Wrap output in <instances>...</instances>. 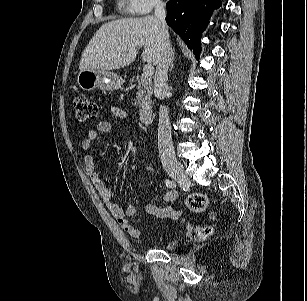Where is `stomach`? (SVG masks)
I'll use <instances>...</instances> for the list:
<instances>
[{
    "label": "stomach",
    "instance_id": "0dacf381",
    "mask_svg": "<svg viewBox=\"0 0 307 301\" xmlns=\"http://www.w3.org/2000/svg\"><path fill=\"white\" fill-rule=\"evenodd\" d=\"M76 81L84 91H92L96 88L113 91L119 89L124 82L118 74L103 69L82 70L78 73Z\"/></svg>",
    "mask_w": 307,
    "mask_h": 301
}]
</instances>
